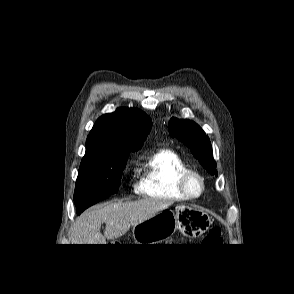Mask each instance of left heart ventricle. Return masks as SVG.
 I'll return each instance as SVG.
<instances>
[{
    "label": "left heart ventricle",
    "instance_id": "b2bd125f",
    "mask_svg": "<svg viewBox=\"0 0 294 294\" xmlns=\"http://www.w3.org/2000/svg\"><path fill=\"white\" fill-rule=\"evenodd\" d=\"M189 188L193 193H198L200 190V182L196 177L189 180Z\"/></svg>",
    "mask_w": 294,
    "mask_h": 294
}]
</instances>
